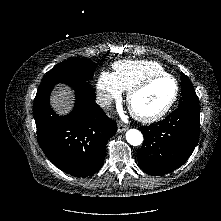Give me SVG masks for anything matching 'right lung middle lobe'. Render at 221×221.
Returning a JSON list of instances; mask_svg holds the SVG:
<instances>
[{
	"label": "right lung middle lobe",
	"instance_id": "obj_1",
	"mask_svg": "<svg viewBox=\"0 0 221 221\" xmlns=\"http://www.w3.org/2000/svg\"><path fill=\"white\" fill-rule=\"evenodd\" d=\"M96 64L85 59H69L52 68L41 85H55L56 83H71L77 80H90L94 75Z\"/></svg>",
	"mask_w": 221,
	"mask_h": 221
}]
</instances>
